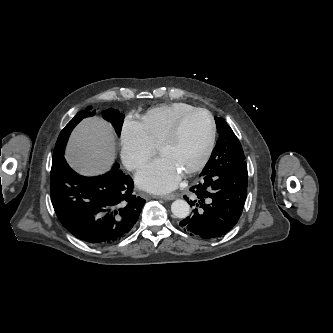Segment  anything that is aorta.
<instances>
[{"label": "aorta", "instance_id": "762f6f07", "mask_svg": "<svg viewBox=\"0 0 333 333\" xmlns=\"http://www.w3.org/2000/svg\"><path fill=\"white\" fill-rule=\"evenodd\" d=\"M173 215L179 219L188 217L190 213V206L185 200H175L171 205Z\"/></svg>", "mask_w": 333, "mask_h": 333}]
</instances>
